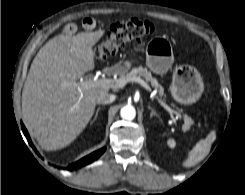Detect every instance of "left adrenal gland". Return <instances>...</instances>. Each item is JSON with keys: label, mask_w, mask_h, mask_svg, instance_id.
<instances>
[{"label": "left adrenal gland", "mask_w": 245, "mask_h": 195, "mask_svg": "<svg viewBox=\"0 0 245 195\" xmlns=\"http://www.w3.org/2000/svg\"><path fill=\"white\" fill-rule=\"evenodd\" d=\"M148 109L151 110L150 117L156 116L157 118H160L159 115L156 113L154 108H152L150 105L148 106Z\"/></svg>", "instance_id": "1"}]
</instances>
